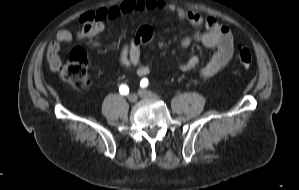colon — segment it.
Returning a JSON list of instances; mask_svg holds the SVG:
<instances>
[{
    "instance_id": "obj_1",
    "label": "colon",
    "mask_w": 299,
    "mask_h": 190,
    "mask_svg": "<svg viewBox=\"0 0 299 190\" xmlns=\"http://www.w3.org/2000/svg\"><path fill=\"white\" fill-rule=\"evenodd\" d=\"M237 59L242 67L248 68L252 63V53L248 48H239ZM59 74L63 81L74 88L86 89L90 84L86 52L81 48H74L68 60L61 66Z\"/></svg>"
}]
</instances>
